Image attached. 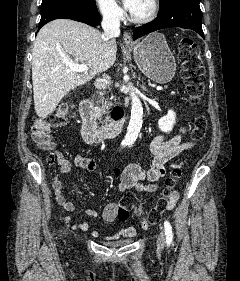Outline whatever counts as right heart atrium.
<instances>
[{"instance_id":"right-heart-atrium-1","label":"right heart atrium","mask_w":240,"mask_h":281,"mask_svg":"<svg viewBox=\"0 0 240 281\" xmlns=\"http://www.w3.org/2000/svg\"><path fill=\"white\" fill-rule=\"evenodd\" d=\"M98 10L104 18L110 21H118L123 11L116 0H96Z\"/></svg>"}]
</instances>
